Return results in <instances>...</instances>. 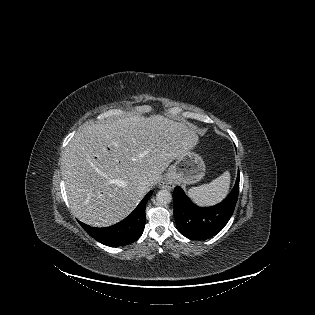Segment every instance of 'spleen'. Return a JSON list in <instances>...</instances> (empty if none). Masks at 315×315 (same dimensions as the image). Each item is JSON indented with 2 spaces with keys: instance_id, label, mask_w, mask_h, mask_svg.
<instances>
[{
  "instance_id": "obj_1",
  "label": "spleen",
  "mask_w": 315,
  "mask_h": 315,
  "mask_svg": "<svg viewBox=\"0 0 315 315\" xmlns=\"http://www.w3.org/2000/svg\"><path fill=\"white\" fill-rule=\"evenodd\" d=\"M229 186L230 173L226 171L208 184L190 188L188 195L200 206H211L219 203L227 196Z\"/></svg>"
}]
</instances>
